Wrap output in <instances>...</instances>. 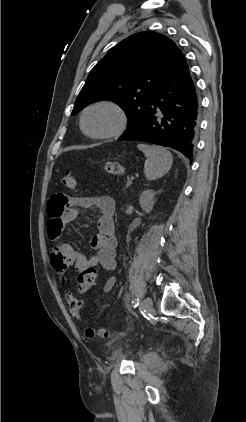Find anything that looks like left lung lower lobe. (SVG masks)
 <instances>
[{
  "mask_svg": "<svg viewBox=\"0 0 246 422\" xmlns=\"http://www.w3.org/2000/svg\"><path fill=\"white\" fill-rule=\"evenodd\" d=\"M200 99L182 55L177 67L152 96L142 121L118 140L173 148L192 161L199 130Z\"/></svg>",
  "mask_w": 246,
  "mask_h": 422,
  "instance_id": "1",
  "label": "left lung lower lobe"
}]
</instances>
